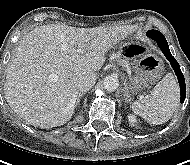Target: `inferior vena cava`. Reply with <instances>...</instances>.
Wrapping results in <instances>:
<instances>
[{"label": "inferior vena cava", "instance_id": "inferior-vena-cava-1", "mask_svg": "<svg viewBox=\"0 0 190 165\" xmlns=\"http://www.w3.org/2000/svg\"><path fill=\"white\" fill-rule=\"evenodd\" d=\"M96 82V75L93 72H85L76 78V89L80 92H87Z\"/></svg>", "mask_w": 190, "mask_h": 165}]
</instances>
